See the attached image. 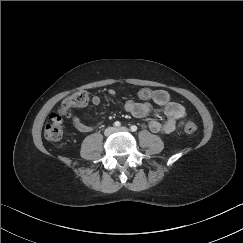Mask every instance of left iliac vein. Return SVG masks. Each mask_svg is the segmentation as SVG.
<instances>
[{"instance_id":"obj_1","label":"left iliac vein","mask_w":243,"mask_h":243,"mask_svg":"<svg viewBox=\"0 0 243 243\" xmlns=\"http://www.w3.org/2000/svg\"><path fill=\"white\" fill-rule=\"evenodd\" d=\"M115 132H128V129L126 127H119L115 129Z\"/></svg>"}]
</instances>
